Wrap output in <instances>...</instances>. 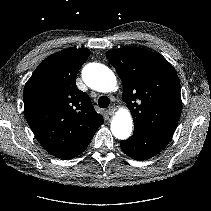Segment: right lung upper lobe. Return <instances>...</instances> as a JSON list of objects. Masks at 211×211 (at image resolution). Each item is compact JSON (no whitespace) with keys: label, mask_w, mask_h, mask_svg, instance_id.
I'll return each instance as SVG.
<instances>
[{"label":"right lung upper lobe","mask_w":211,"mask_h":211,"mask_svg":"<svg viewBox=\"0 0 211 211\" xmlns=\"http://www.w3.org/2000/svg\"><path fill=\"white\" fill-rule=\"evenodd\" d=\"M90 55L88 49L68 48L47 57L24 89L27 122L43 148L64 158L89 142L104 122L75 78Z\"/></svg>","instance_id":"obj_1"}]
</instances>
